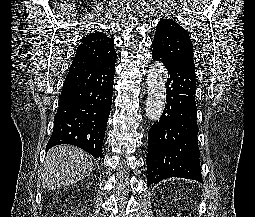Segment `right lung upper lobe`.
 Listing matches in <instances>:
<instances>
[{
	"mask_svg": "<svg viewBox=\"0 0 255 217\" xmlns=\"http://www.w3.org/2000/svg\"><path fill=\"white\" fill-rule=\"evenodd\" d=\"M116 60L114 42L103 32H93L81 40L70 69L105 66Z\"/></svg>",
	"mask_w": 255,
	"mask_h": 217,
	"instance_id": "obj_1",
	"label": "right lung upper lobe"
}]
</instances>
